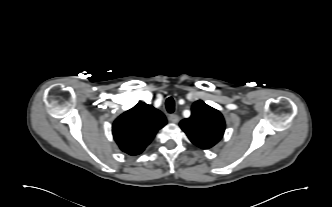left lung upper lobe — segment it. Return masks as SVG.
<instances>
[{"instance_id":"1","label":"left lung upper lobe","mask_w":332,"mask_h":207,"mask_svg":"<svg viewBox=\"0 0 332 207\" xmlns=\"http://www.w3.org/2000/svg\"><path fill=\"white\" fill-rule=\"evenodd\" d=\"M180 127L193 144L209 149L223 137L225 121L218 110L198 100L192 105L191 116L182 120Z\"/></svg>"}]
</instances>
